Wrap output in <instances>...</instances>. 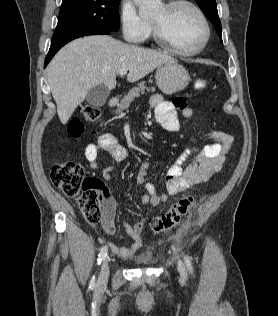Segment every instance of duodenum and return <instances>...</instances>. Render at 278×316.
Instances as JSON below:
<instances>
[{
  "label": "duodenum",
  "mask_w": 278,
  "mask_h": 316,
  "mask_svg": "<svg viewBox=\"0 0 278 316\" xmlns=\"http://www.w3.org/2000/svg\"><path fill=\"white\" fill-rule=\"evenodd\" d=\"M119 101L118 96H112L110 97V99L108 100V105L109 106H115Z\"/></svg>",
  "instance_id": "1"
}]
</instances>
